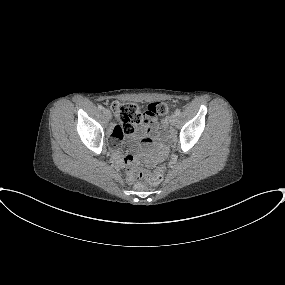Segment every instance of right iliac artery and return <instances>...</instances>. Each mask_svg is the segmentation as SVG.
Segmentation results:
<instances>
[{
    "instance_id": "obj_1",
    "label": "right iliac artery",
    "mask_w": 285,
    "mask_h": 285,
    "mask_svg": "<svg viewBox=\"0 0 285 285\" xmlns=\"http://www.w3.org/2000/svg\"><path fill=\"white\" fill-rule=\"evenodd\" d=\"M98 108H99L100 110H103V109H104V107H103L102 105H98Z\"/></svg>"
}]
</instances>
